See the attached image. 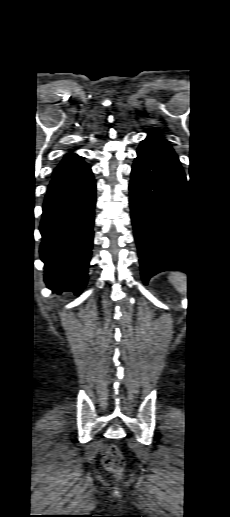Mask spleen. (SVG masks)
I'll return each mask as SVG.
<instances>
[{
    "mask_svg": "<svg viewBox=\"0 0 230 517\" xmlns=\"http://www.w3.org/2000/svg\"><path fill=\"white\" fill-rule=\"evenodd\" d=\"M169 281L181 293L187 292V276L183 273L175 272L169 276Z\"/></svg>",
    "mask_w": 230,
    "mask_h": 517,
    "instance_id": "obj_1",
    "label": "spleen"
}]
</instances>
